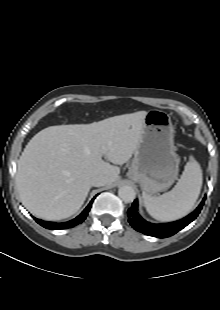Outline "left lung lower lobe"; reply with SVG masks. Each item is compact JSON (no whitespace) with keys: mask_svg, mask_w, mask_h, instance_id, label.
I'll use <instances>...</instances> for the list:
<instances>
[{"mask_svg":"<svg viewBox=\"0 0 220 310\" xmlns=\"http://www.w3.org/2000/svg\"><path fill=\"white\" fill-rule=\"evenodd\" d=\"M206 196L203 198L200 205L197 207V209L189 214L187 217L178 220L176 222L172 223H165V224H153L150 222H147L144 220L138 213V203L137 200H135L132 204V207L128 210V217H129V223L131 226L148 236L158 237V238H166L174 235L184 227H186L188 224H190L196 217L199 215L204 202H205Z\"/></svg>","mask_w":220,"mask_h":310,"instance_id":"obj_1","label":"left lung lower lobe"}]
</instances>
